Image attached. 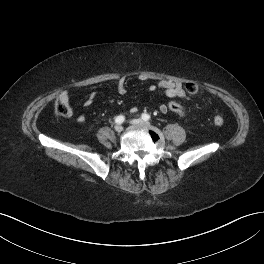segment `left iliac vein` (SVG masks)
<instances>
[{
    "mask_svg": "<svg viewBox=\"0 0 264 264\" xmlns=\"http://www.w3.org/2000/svg\"><path fill=\"white\" fill-rule=\"evenodd\" d=\"M131 123L134 125H149V122L143 121L142 119H133Z\"/></svg>",
    "mask_w": 264,
    "mask_h": 264,
    "instance_id": "left-iliac-vein-1",
    "label": "left iliac vein"
}]
</instances>
